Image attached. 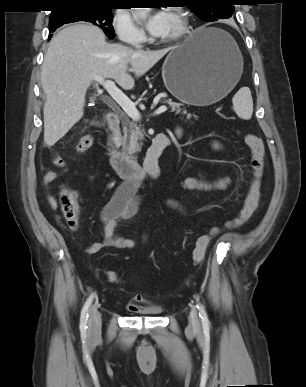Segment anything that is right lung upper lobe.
<instances>
[{"label":"right lung upper lobe","instance_id":"cb5924a9","mask_svg":"<svg viewBox=\"0 0 306 387\" xmlns=\"http://www.w3.org/2000/svg\"><path fill=\"white\" fill-rule=\"evenodd\" d=\"M56 9L53 12H58L63 8L73 6H104L110 7L113 4V0H55Z\"/></svg>","mask_w":306,"mask_h":387}]
</instances>
